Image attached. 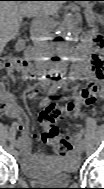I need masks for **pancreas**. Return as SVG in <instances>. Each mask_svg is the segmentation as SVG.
<instances>
[{
  "label": "pancreas",
  "mask_w": 104,
  "mask_h": 189,
  "mask_svg": "<svg viewBox=\"0 0 104 189\" xmlns=\"http://www.w3.org/2000/svg\"><path fill=\"white\" fill-rule=\"evenodd\" d=\"M87 18H88V20H92V21L95 19V17L92 15L91 16L88 15Z\"/></svg>",
  "instance_id": "obj_1"
}]
</instances>
